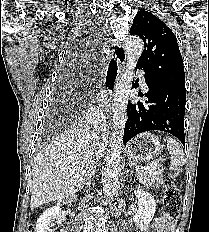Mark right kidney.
<instances>
[{
    "mask_svg": "<svg viewBox=\"0 0 209 232\" xmlns=\"http://www.w3.org/2000/svg\"><path fill=\"white\" fill-rule=\"evenodd\" d=\"M61 217V209L59 206H53L46 209L38 218L36 222V232H52L51 227L54 222L59 221ZM61 232H67L63 227Z\"/></svg>",
    "mask_w": 209,
    "mask_h": 232,
    "instance_id": "1",
    "label": "right kidney"
}]
</instances>
